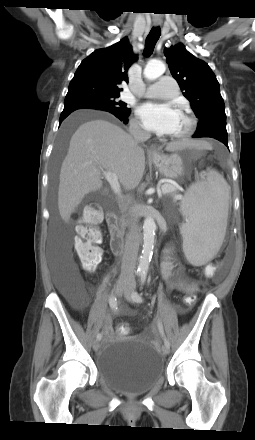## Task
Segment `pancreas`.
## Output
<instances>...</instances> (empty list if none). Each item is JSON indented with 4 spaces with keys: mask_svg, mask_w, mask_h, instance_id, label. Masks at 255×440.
<instances>
[{
    "mask_svg": "<svg viewBox=\"0 0 255 440\" xmlns=\"http://www.w3.org/2000/svg\"><path fill=\"white\" fill-rule=\"evenodd\" d=\"M164 187H165V185L162 186V189H164ZM168 195L172 198H175L177 196V192L174 190V191L168 192ZM119 226L121 227V230L124 231L125 226H126V220H125L124 215L119 220Z\"/></svg>",
    "mask_w": 255,
    "mask_h": 440,
    "instance_id": "1",
    "label": "pancreas"
}]
</instances>
